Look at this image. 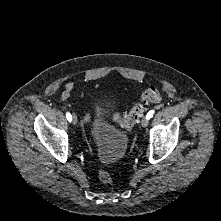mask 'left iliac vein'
<instances>
[{
  "label": "left iliac vein",
  "mask_w": 221,
  "mask_h": 221,
  "mask_svg": "<svg viewBox=\"0 0 221 221\" xmlns=\"http://www.w3.org/2000/svg\"><path fill=\"white\" fill-rule=\"evenodd\" d=\"M149 120L146 117H143L141 121V125L143 128H146L148 126Z\"/></svg>",
  "instance_id": "obj_1"
}]
</instances>
